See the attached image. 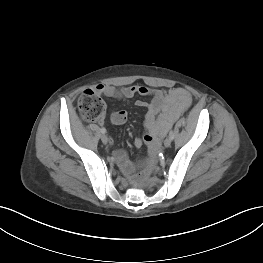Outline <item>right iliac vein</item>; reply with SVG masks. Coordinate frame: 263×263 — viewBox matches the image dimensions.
<instances>
[{
	"label": "right iliac vein",
	"mask_w": 263,
	"mask_h": 263,
	"mask_svg": "<svg viewBox=\"0 0 263 263\" xmlns=\"http://www.w3.org/2000/svg\"><path fill=\"white\" fill-rule=\"evenodd\" d=\"M101 140H102V142H103L104 144H107V142H108V138H107L106 135H102V136H101Z\"/></svg>",
	"instance_id": "1"
}]
</instances>
